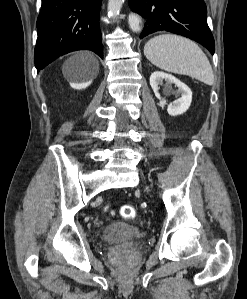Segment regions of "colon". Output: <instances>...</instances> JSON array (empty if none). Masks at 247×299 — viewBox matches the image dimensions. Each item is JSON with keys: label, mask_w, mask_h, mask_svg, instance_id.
Listing matches in <instances>:
<instances>
[{"label": "colon", "mask_w": 247, "mask_h": 299, "mask_svg": "<svg viewBox=\"0 0 247 299\" xmlns=\"http://www.w3.org/2000/svg\"><path fill=\"white\" fill-rule=\"evenodd\" d=\"M121 216L126 219H133L136 216V210L132 205H124L120 210Z\"/></svg>", "instance_id": "obj_1"}]
</instances>
